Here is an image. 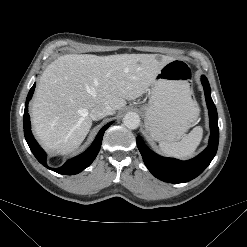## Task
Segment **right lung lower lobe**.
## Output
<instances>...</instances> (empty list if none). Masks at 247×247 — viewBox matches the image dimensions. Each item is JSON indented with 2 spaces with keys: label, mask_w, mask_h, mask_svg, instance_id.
Returning a JSON list of instances; mask_svg holds the SVG:
<instances>
[{
  "label": "right lung lower lobe",
  "mask_w": 247,
  "mask_h": 247,
  "mask_svg": "<svg viewBox=\"0 0 247 247\" xmlns=\"http://www.w3.org/2000/svg\"><path fill=\"white\" fill-rule=\"evenodd\" d=\"M34 89H35V84L30 89L29 94L27 96V100L25 103L24 117H23L24 135L32 153L43 166L59 174L74 175L81 172L82 170L87 168L96 158L101 147L104 132L112 124V122L102 127V129L97 134L95 140L93 141L92 145L84 153L67 161L63 166L59 168L48 167V165L46 164V154L42 150V148L38 145V143L36 142V140L34 139L31 133L30 117L28 114V102L32 97Z\"/></svg>",
  "instance_id": "obj_1"
}]
</instances>
